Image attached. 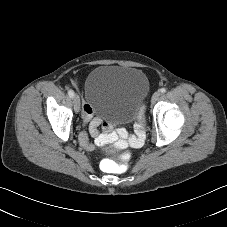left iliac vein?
Returning <instances> with one entry per match:
<instances>
[{
    "label": "left iliac vein",
    "mask_w": 227,
    "mask_h": 227,
    "mask_svg": "<svg viewBox=\"0 0 227 227\" xmlns=\"http://www.w3.org/2000/svg\"><path fill=\"white\" fill-rule=\"evenodd\" d=\"M160 95L161 93L159 91L155 92L152 96L151 102L155 103L159 99Z\"/></svg>",
    "instance_id": "obj_1"
}]
</instances>
